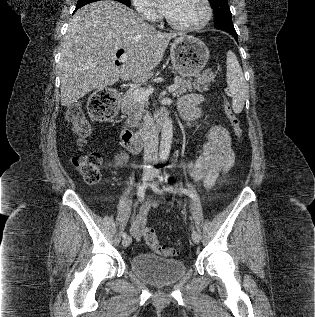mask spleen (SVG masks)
<instances>
[{
    "label": "spleen",
    "mask_w": 315,
    "mask_h": 317,
    "mask_svg": "<svg viewBox=\"0 0 315 317\" xmlns=\"http://www.w3.org/2000/svg\"><path fill=\"white\" fill-rule=\"evenodd\" d=\"M227 84L232 97V108L236 114L242 112L248 95V86L236 55L229 50L226 59Z\"/></svg>",
    "instance_id": "1"
}]
</instances>
